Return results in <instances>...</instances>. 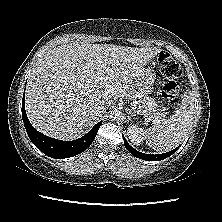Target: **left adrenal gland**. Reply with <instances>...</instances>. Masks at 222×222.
I'll list each match as a JSON object with an SVG mask.
<instances>
[{
  "instance_id": "a2214340",
  "label": "left adrenal gland",
  "mask_w": 222,
  "mask_h": 222,
  "mask_svg": "<svg viewBox=\"0 0 222 222\" xmlns=\"http://www.w3.org/2000/svg\"><path fill=\"white\" fill-rule=\"evenodd\" d=\"M127 112H128V121L130 120V118H131V116H136V114L134 113V112H132V110L131 109H127Z\"/></svg>"
}]
</instances>
